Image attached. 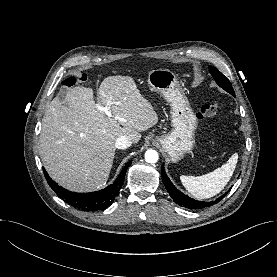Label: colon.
<instances>
[{
    "instance_id": "colon-1",
    "label": "colon",
    "mask_w": 277,
    "mask_h": 277,
    "mask_svg": "<svg viewBox=\"0 0 277 277\" xmlns=\"http://www.w3.org/2000/svg\"><path fill=\"white\" fill-rule=\"evenodd\" d=\"M87 80L85 75L80 76L79 78L68 77L62 84L66 87H73L80 82H85ZM221 115L220 106L216 102L208 103L203 105L200 110L196 113L197 119L201 121L214 120L219 118Z\"/></svg>"
}]
</instances>
